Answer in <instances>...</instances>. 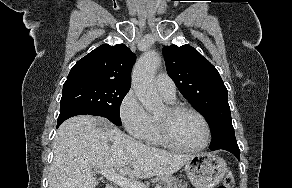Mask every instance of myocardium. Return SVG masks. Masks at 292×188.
<instances>
[{"label": "myocardium", "instance_id": "obj_1", "mask_svg": "<svg viewBox=\"0 0 292 188\" xmlns=\"http://www.w3.org/2000/svg\"><path fill=\"white\" fill-rule=\"evenodd\" d=\"M168 118L167 119H160L156 117V125L158 134L163 141L164 144L167 146L174 148L179 151L184 152H199L204 150L211 141V127L207 120V118L197 109L183 105V104H170L166 107ZM183 112H190L196 115L203 123L205 128V139L202 144L196 147H186L181 145L176 139L173 137L171 130H170V119L180 113Z\"/></svg>", "mask_w": 292, "mask_h": 188}]
</instances>
